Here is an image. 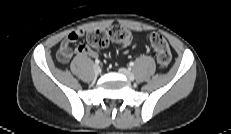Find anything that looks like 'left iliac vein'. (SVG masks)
Returning <instances> with one entry per match:
<instances>
[{
    "instance_id": "4c4485c4",
    "label": "left iliac vein",
    "mask_w": 231,
    "mask_h": 134,
    "mask_svg": "<svg viewBox=\"0 0 231 134\" xmlns=\"http://www.w3.org/2000/svg\"><path fill=\"white\" fill-rule=\"evenodd\" d=\"M119 73L124 75L129 81H133L135 79L134 74L126 68H120Z\"/></svg>"
}]
</instances>
